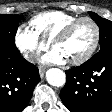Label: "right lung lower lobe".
Here are the masks:
<instances>
[{
    "label": "right lung lower lobe",
    "instance_id": "obj_1",
    "mask_svg": "<svg viewBox=\"0 0 112 112\" xmlns=\"http://www.w3.org/2000/svg\"><path fill=\"white\" fill-rule=\"evenodd\" d=\"M39 81L38 68L20 54L0 53V112H22Z\"/></svg>",
    "mask_w": 112,
    "mask_h": 112
}]
</instances>
